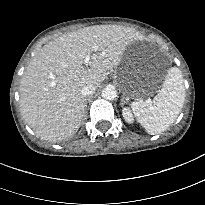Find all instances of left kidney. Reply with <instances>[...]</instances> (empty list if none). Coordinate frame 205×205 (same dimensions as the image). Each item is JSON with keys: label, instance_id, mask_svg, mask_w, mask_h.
<instances>
[{"label": "left kidney", "instance_id": "5707ae66", "mask_svg": "<svg viewBox=\"0 0 205 205\" xmlns=\"http://www.w3.org/2000/svg\"><path fill=\"white\" fill-rule=\"evenodd\" d=\"M122 115L128 123H133L134 122L133 114L131 113V110L128 107L123 108Z\"/></svg>", "mask_w": 205, "mask_h": 205}]
</instances>
